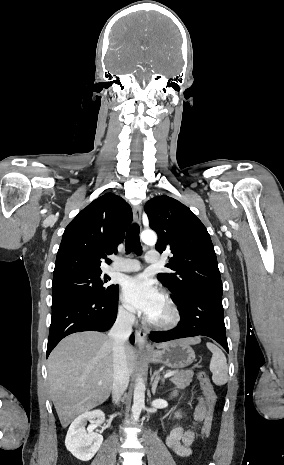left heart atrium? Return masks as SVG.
<instances>
[{
  "label": "left heart atrium",
  "mask_w": 284,
  "mask_h": 465,
  "mask_svg": "<svg viewBox=\"0 0 284 465\" xmlns=\"http://www.w3.org/2000/svg\"><path fill=\"white\" fill-rule=\"evenodd\" d=\"M122 301L132 311L149 318L163 301V293L151 278L138 275L123 284Z\"/></svg>",
  "instance_id": "obj_1"
}]
</instances>
